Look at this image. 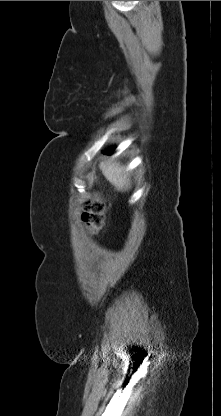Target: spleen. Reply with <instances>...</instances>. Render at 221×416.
Segmentation results:
<instances>
[{"label":"spleen","mask_w":221,"mask_h":416,"mask_svg":"<svg viewBox=\"0 0 221 416\" xmlns=\"http://www.w3.org/2000/svg\"><path fill=\"white\" fill-rule=\"evenodd\" d=\"M100 168L106 179L111 182L118 190L130 188V179L125 172V168L119 164L101 163Z\"/></svg>","instance_id":"3e777b00"}]
</instances>
